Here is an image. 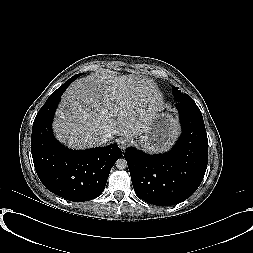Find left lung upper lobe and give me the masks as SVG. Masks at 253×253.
Instances as JSON below:
<instances>
[{"mask_svg": "<svg viewBox=\"0 0 253 253\" xmlns=\"http://www.w3.org/2000/svg\"><path fill=\"white\" fill-rule=\"evenodd\" d=\"M173 94L179 101L195 104V102L186 93H182L178 87H173Z\"/></svg>", "mask_w": 253, "mask_h": 253, "instance_id": "left-lung-upper-lobe-1", "label": "left lung upper lobe"}]
</instances>
